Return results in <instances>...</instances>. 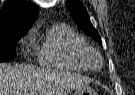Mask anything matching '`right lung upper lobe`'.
Here are the masks:
<instances>
[{
	"instance_id": "obj_1",
	"label": "right lung upper lobe",
	"mask_w": 135,
	"mask_h": 95,
	"mask_svg": "<svg viewBox=\"0 0 135 95\" xmlns=\"http://www.w3.org/2000/svg\"><path fill=\"white\" fill-rule=\"evenodd\" d=\"M39 11L24 0H6L0 10V35L15 31H28Z\"/></svg>"
}]
</instances>
